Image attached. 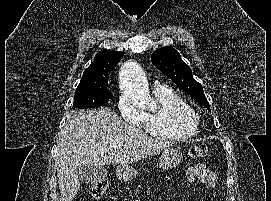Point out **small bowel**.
I'll use <instances>...</instances> for the list:
<instances>
[{
	"mask_svg": "<svg viewBox=\"0 0 271 201\" xmlns=\"http://www.w3.org/2000/svg\"><path fill=\"white\" fill-rule=\"evenodd\" d=\"M187 180L192 185H204L211 188L217 187L216 175L204 165L191 167L186 173Z\"/></svg>",
	"mask_w": 271,
	"mask_h": 201,
	"instance_id": "1",
	"label": "small bowel"
}]
</instances>
